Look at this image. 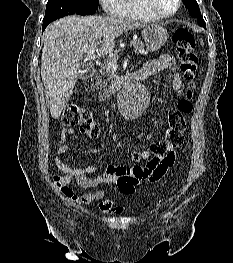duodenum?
<instances>
[{
	"label": "duodenum",
	"mask_w": 233,
	"mask_h": 263,
	"mask_svg": "<svg viewBox=\"0 0 233 263\" xmlns=\"http://www.w3.org/2000/svg\"><path fill=\"white\" fill-rule=\"evenodd\" d=\"M96 75V71L93 68L86 69L82 74V79L85 81H92ZM147 78V74L141 69L134 72L131 76L130 73H123V75H115L114 78L108 79L109 85H104V90H110L111 92H116L120 90L123 83H129L130 81H140ZM113 85V86H112Z\"/></svg>",
	"instance_id": "duodenum-1"
}]
</instances>
